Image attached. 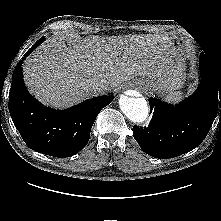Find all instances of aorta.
<instances>
[{
	"label": "aorta",
	"mask_w": 221,
	"mask_h": 221,
	"mask_svg": "<svg viewBox=\"0 0 221 221\" xmlns=\"http://www.w3.org/2000/svg\"><path fill=\"white\" fill-rule=\"evenodd\" d=\"M119 106L125 116L134 123H142L148 118L149 107L143 97L121 95Z\"/></svg>",
	"instance_id": "obj_1"
}]
</instances>
